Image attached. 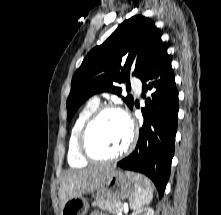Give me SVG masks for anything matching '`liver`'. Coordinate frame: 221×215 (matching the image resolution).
<instances>
[{"instance_id": "6515ba94", "label": "liver", "mask_w": 221, "mask_h": 215, "mask_svg": "<svg viewBox=\"0 0 221 215\" xmlns=\"http://www.w3.org/2000/svg\"><path fill=\"white\" fill-rule=\"evenodd\" d=\"M112 170L111 166H98L68 172L58 192L61 208L69 199L95 191Z\"/></svg>"}]
</instances>
